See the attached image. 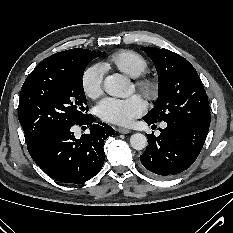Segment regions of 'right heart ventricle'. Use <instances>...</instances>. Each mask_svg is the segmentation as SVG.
Returning <instances> with one entry per match:
<instances>
[{"label": "right heart ventricle", "instance_id": "e07e8e85", "mask_svg": "<svg viewBox=\"0 0 233 233\" xmlns=\"http://www.w3.org/2000/svg\"><path fill=\"white\" fill-rule=\"evenodd\" d=\"M104 67H115L122 73L132 78H137L146 72L148 64L139 53L132 50H121L112 54L104 64Z\"/></svg>", "mask_w": 233, "mask_h": 233}]
</instances>
